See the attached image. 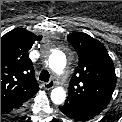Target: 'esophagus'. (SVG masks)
I'll list each match as a JSON object with an SVG mask.
<instances>
[{"mask_svg": "<svg viewBox=\"0 0 122 122\" xmlns=\"http://www.w3.org/2000/svg\"><path fill=\"white\" fill-rule=\"evenodd\" d=\"M55 83L54 81H49L43 84V87L47 90H50L54 87Z\"/></svg>", "mask_w": 122, "mask_h": 122, "instance_id": "34e87169", "label": "esophagus"}]
</instances>
